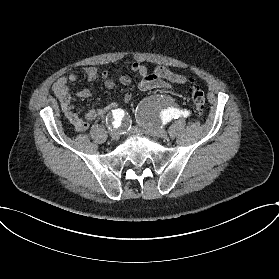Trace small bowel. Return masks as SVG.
Here are the masks:
<instances>
[{
	"instance_id": "obj_1",
	"label": "small bowel",
	"mask_w": 279,
	"mask_h": 279,
	"mask_svg": "<svg viewBox=\"0 0 279 279\" xmlns=\"http://www.w3.org/2000/svg\"><path fill=\"white\" fill-rule=\"evenodd\" d=\"M129 69L140 76L139 88L142 91H148L155 88H170L171 84H183L186 82V76L178 73H174L165 67H156L150 71L145 65L137 61L128 62ZM84 73L88 81H94L98 77H101L104 86L107 89H113L115 87L114 80L110 77V73L107 70L98 71L94 67H85ZM78 80V76L73 73H67L60 77L53 85V93L60 102L61 110L65 118L71 123L77 132H84L89 127V122L104 115L109 110L117 108L118 103H111L103 108H91L83 117H81L75 110V107L71 100V95L68 85L75 83ZM120 83L125 86H129L132 83V78L127 75H121L119 77ZM78 98H89L92 96V92L88 89H80L76 92ZM132 101V93L126 91L123 94V103L129 104Z\"/></svg>"
}]
</instances>
